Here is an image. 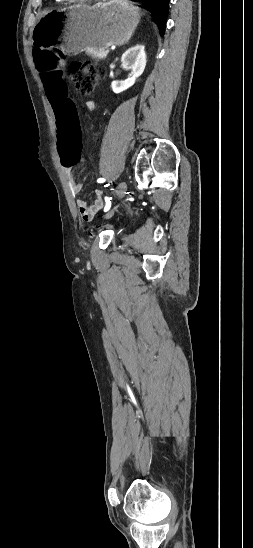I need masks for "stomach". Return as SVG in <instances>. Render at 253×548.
Segmentation results:
<instances>
[{
  "instance_id": "obj_1",
  "label": "stomach",
  "mask_w": 253,
  "mask_h": 548,
  "mask_svg": "<svg viewBox=\"0 0 253 548\" xmlns=\"http://www.w3.org/2000/svg\"><path fill=\"white\" fill-rule=\"evenodd\" d=\"M139 20V8L123 0L73 5L43 17L34 28L33 41L44 45L59 43L64 53L76 55L88 47L127 43Z\"/></svg>"
}]
</instances>
